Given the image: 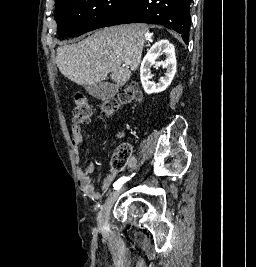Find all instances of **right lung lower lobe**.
I'll list each match as a JSON object with an SVG mask.
<instances>
[{
  "instance_id": "right-lung-lower-lobe-1",
  "label": "right lung lower lobe",
  "mask_w": 256,
  "mask_h": 267,
  "mask_svg": "<svg viewBox=\"0 0 256 267\" xmlns=\"http://www.w3.org/2000/svg\"><path fill=\"white\" fill-rule=\"evenodd\" d=\"M192 0H136L103 27L124 23L160 24L182 34L188 44L190 29V3Z\"/></svg>"
}]
</instances>
